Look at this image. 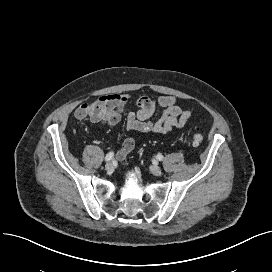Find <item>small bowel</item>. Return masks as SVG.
Listing matches in <instances>:
<instances>
[{
  "instance_id": "c3829d8e",
  "label": "small bowel",
  "mask_w": 272,
  "mask_h": 272,
  "mask_svg": "<svg viewBox=\"0 0 272 272\" xmlns=\"http://www.w3.org/2000/svg\"><path fill=\"white\" fill-rule=\"evenodd\" d=\"M131 100L128 94L100 96L96 101L79 106L75 118L89 119L95 123L117 125L126 115V129L141 133L165 134L174 128H181L188 121L191 110L182 107L176 97L164 95L157 98L140 96L134 100L135 112L127 111L126 106ZM156 117V119H153ZM136 140L128 137L116 152V158L123 160L133 151Z\"/></svg>"
}]
</instances>
